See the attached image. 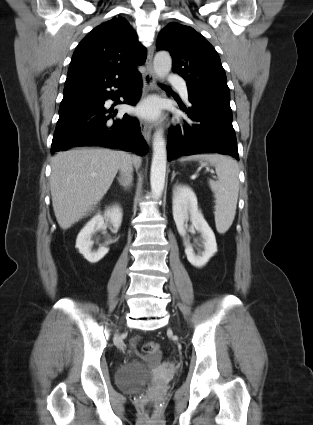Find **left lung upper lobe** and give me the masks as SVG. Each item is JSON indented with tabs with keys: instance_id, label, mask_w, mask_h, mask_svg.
I'll return each instance as SVG.
<instances>
[{
	"instance_id": "5c2ea615",
	"label": "left lung upper lobe",
	"mask_w": 313,
	"mask_h": 425,
	"mask_svg": "<svg viewBox=\"0 0 313 425\" xmlns=\"http://www.w3.org/2000/svg\"><path fill=\"white\" fill-rule=\"evenodd\" d=\"M156 48L170 52L172 70L187 81L191 94L230 99L226 74L217 52L193 28L175 22L168 24L160 32Z\"/></svg>"
}]
</instances>
